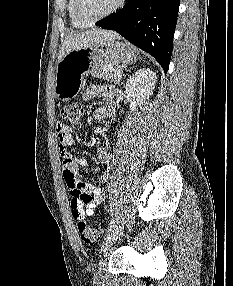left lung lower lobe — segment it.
Wrapping results in <instances>:
<instances>
[{"mask_svg": "<svg viewBox=\"0 0 233 286\" xmlns=\"http://www.w3.org/2000/svg\"><path fill=\"white\" fill-rule=\"evenodd\" d=\"M179 3L180 0H127L120 11L96 25L115 30L151 54L166 73L173 50Z\"/></svg>", "mask_w": 233, "mask_h": 286, "instance_id": "obj_1", "label": "left lung lower lobe"}]
</instances>
